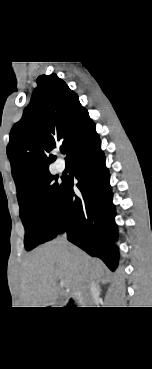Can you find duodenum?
I'll use <instances>...</instances> for the list:
<instances>
[{
    "instance_id": "410a0bca",
    "label": "duodenum",
    "mask_w": 152,
    "mask_h": 369,
    "mask_svg": "<svg viewBox=\"0 0 152 369\" xmlns=\"http://www.w3.org/2000/svg\"><path fill=\"white\" fill-rule=\"evenodd\" d=\"M74 297H75L77 300L82 301V295H81V294L76 293V294L74 295Z\"/></svg>"
}]
</instances>
